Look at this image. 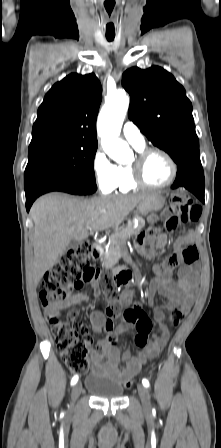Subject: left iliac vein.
<instances>
[{"instance_id":"obj_1","label":"left iliac vein","mask_w":221,"mask_h":448,"mask_svg":"<svg viewBox=\"0 0 221 448\" xmlns=\"http://www.w3.org/2000/svg\"><path fill=\"white\" fill-rule=\"evenodd\" d=\"M137 390H138V394L140 396L144 410L146 412L150 411L151 404H150V395H149L148 389L144 385L138 384Z\"/></svg>"}]
</instances>
